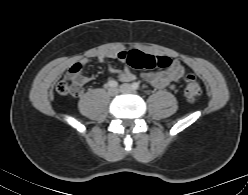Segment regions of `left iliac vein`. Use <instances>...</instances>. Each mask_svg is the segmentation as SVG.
I'll list each match as a JSON object with an SVG mask.
<instances>
[{"mask_svg": "<svg viewBox=\"0 0 248 195\" xmlns=\"http://www.w3.org/2000/svg\"><path fill=\"white\" fill-rule=\"evenodd\" d=\"M120 92L122 93H136V91L133 89V87L129 84H122L119 87Z\"/></svg>", "mask_w": 248, "mask_h": 195, "instance_id": "1", "label": "left iliac vein"}]
</instances>
